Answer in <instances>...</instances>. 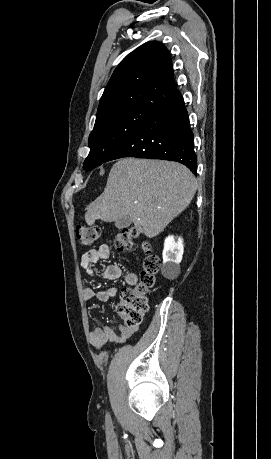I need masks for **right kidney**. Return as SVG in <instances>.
<instances>
[{"mask_svg":"<svg viewBox=\"0 0 271 459\" xmlns=\"http://www.w3.org/2000/svg\"><path fill=\"white\" fill-rule=\"evenodd\" d=\"M163 265L161 271L164 277L175 279L180 273L179 263L183 255V239L178 237L175 241L174 235H168L164 241V249L162 251Z\"/></svg>","mask_w":271,"mask_h":459,"instance_id":"1","label":"right kidney"}]
</instances>
